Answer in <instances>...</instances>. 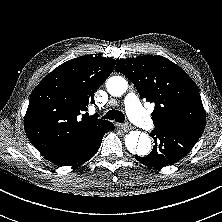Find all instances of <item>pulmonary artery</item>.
Instances as JSON below:
<instances>
[{"label":"pulmonary artery","mask_w":222,"mask_h":222,"mask_svg":"<svg viewBox=\"0 0 222 222\" xmlns=\"http://www.w3.org/2000/svg\"><path fill=\"white\" fill-rule=\"evenodd\" d=\"M125 105L128 110L129 117L137 125H139L144 130H152L154 128V123L146 111L140 106L137 97L129 93L125 97Z\"/></svg>","instance_id":"pulmonary-artery-1"}]
</instances>
